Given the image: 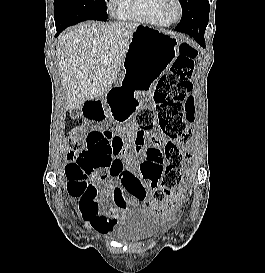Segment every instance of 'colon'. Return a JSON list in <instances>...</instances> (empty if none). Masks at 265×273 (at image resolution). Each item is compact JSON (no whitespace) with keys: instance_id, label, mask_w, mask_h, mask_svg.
Returning <instances> with one entry per match:
<instances>
[{"instance_id":"colon-1","label":"colon","mask_w":265,"mask_h":273,"mask_svg":"<svg viewBox=\"0 0 265 273\" xmlns=\"http://www.w3.org/2000/svg\"><path fill=\"white\" fill-rule=\"evenodd\" d=\"M196 48L183 44L179 55L169 71L158 81L153 95V106L142 107L136 122L140 128L134 141V152L139 154L146 144V137L155 125L163 135L154 136V144L148 151L159 159H165L163 168L152 173L154 199L167 208H172L183 196L175 191L180 185L183 163L186 156L183 147H190L188 126L195 120V105L192 97L191 78ZM115 137L109 131L98 129H77L66 151L67 190L71 196L83 193L95 194V187L88 177L97 170L109 169L112 162V141ZM169 138L170 140H167Z\"/></svg>"}]
</instances>
